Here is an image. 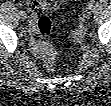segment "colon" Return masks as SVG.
Segmentation results:
<instances>
[{"mask_svg": "<svg viewBox=\"0 0 111 106\" xmlns=\"http://www.w3.org/2000/svg\"><path fill=\"white\" fill-rule=\"evenodd\" d=\"M38 41L36 48L43 55V66L47 71H52L55 68V53L48 40L52 33V21L47 16H41L36 24Z\"/></svg>", "mask_w": 111, "mask_h": 106, "instance_id": "colon-1", "label": "colon"}]
</instances>
